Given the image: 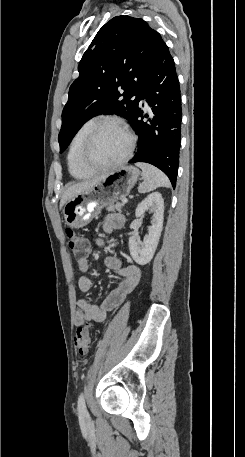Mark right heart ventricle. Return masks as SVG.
<instances>
[{
  "instance_id": "1",
  "label": "right heart ventricle",
  "mask_w": 245,
  "mask_h": 457,
  "mask_svg": "<svg viewBox=\"0 0 245 457\" xmlns=\"http://www.w3.org/2000/svg\"><path fill=\"white\" fill-rule=\"evenodd\" d=\"M95 123L96 120L91 119L82 124L81 127L75 133L70 144L68 152L69 172L74 178L78 180L86 179L89 177V174L86 171H84L78 163V152L83 145L87 133L94 126Z\"/></svg>"
}]
</instances>
